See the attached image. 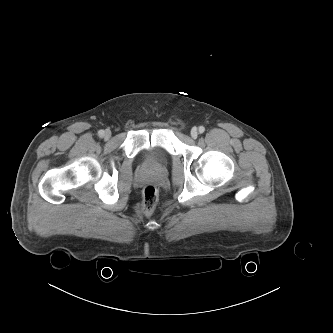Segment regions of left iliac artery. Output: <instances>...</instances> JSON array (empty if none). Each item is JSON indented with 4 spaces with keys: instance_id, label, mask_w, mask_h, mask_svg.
<instances>
[{
    "instance_id": "44dca946",
    "label": "left iliac artery",
    "mask_w": 333,
    "mask_h": 333,
    "mask_svg": "<svg viewBox=\"0 0 333 333\" xmlns=\"http://www.w3.org/2000/svg\"><path fill=\"white\" fill-rule=\"evenodd\" d=\"M204 131H205V128H204L203 126H200V127H199V132H200V133H203Z\"/></svg>"
}]
</instances>
